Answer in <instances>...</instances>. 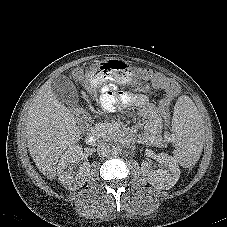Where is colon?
I'll return each mask as SVG.
<instances>
[{
	"mask_svg": "<svg viewBox=\"0 0 227 227\" xmlns=\"http://www.w3.org/2000/svg\"><path fill=\"white\" fill-rule=\"evenodd\" d=\"M85 69L77 68L73 71V78L77 81L84 80ZM144 76L152 79V81L161 87H164L168 93L164 94L162 101L160 103V112L162 114V123L164 126L169 127L173 123V112L171 110V105L173 102V97L179 92V85L173 79L164 76L161 73L152 72L147 70L144 72ZM75 115L81 124H87L89 121V114L84 108H77L75 110Z\"/></svg>",
	"mask_w": 227,
	"mask_h": 227,
	"instance_id": "obj_1",
	"label": "colon"
}]
</instances>
